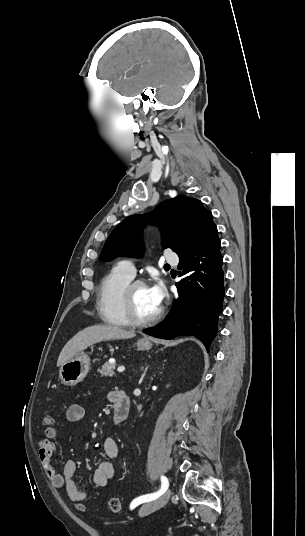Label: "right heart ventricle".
Masks as SVG:
<instances>
[{"label":"right heart ventricle","instance_id":"1","mask_svg":"<svg viewBox=\"0 0 305 536\" xmlns=\"http://www.w3.org/2000/svg\"><path fill=\"white\" fill-rule=\"evenodd\" d=\"M131 280L132 278L124 274L118 267L112 269L102 279L97 297V311L105 323L118 327L131 324L122 305L123 290Z\"/></svg>","mask_w":305,"mask_h":536}]
</instances>
